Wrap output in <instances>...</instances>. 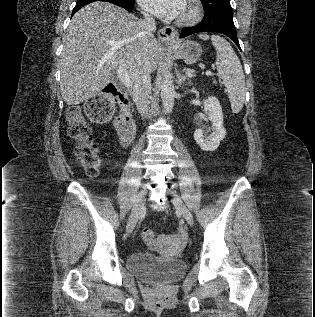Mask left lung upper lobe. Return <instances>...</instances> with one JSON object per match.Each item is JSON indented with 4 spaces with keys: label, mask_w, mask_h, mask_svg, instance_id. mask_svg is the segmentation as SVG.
Instances as JSON below:
<instances>
[{
    "label": "left lung upper lobe",
    "mask_w": 315,
    "mask_h": 317,
    "mask_svg": "<svg viewBox=\"0 0 315 317\" xmlns=\"http://www.w3.org/2000/svg\"><path fill=\"white\" fill-rule=\"evenodd\" d=\"M205 8L204 18L217 20L224 17H233L230 0H201Z\"/></svg>",
    "instance_id": "1"
}]
</instances>
